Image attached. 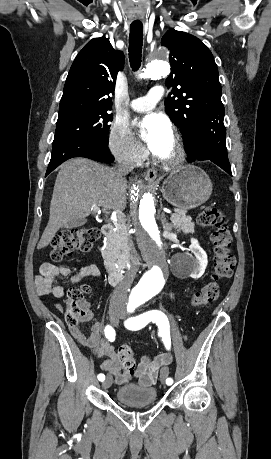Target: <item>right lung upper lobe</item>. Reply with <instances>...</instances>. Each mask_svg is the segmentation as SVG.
Wrapping results in <instances>:
<instances>
[{
	"mask_svg": "<svg viewBox=\"0 0 271 459\" xmlns=\"http://www.w3.org/2000/svg\"><path fill=\"white\" fill-rule=\"evenodd\" d=\"M123 65V52L114 50L108 39H92L70 68L59 112L110 110L109 94L114 91L117 73Z\"/></svg>",
	"mask_w": 271,
	"mask_h": 459,
	"instance_id": "right-lung-upper-lobe-1",
	"label": "right lung upper lobe"
}]
</instances>
